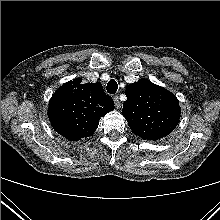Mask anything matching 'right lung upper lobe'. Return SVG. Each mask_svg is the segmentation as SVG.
Returning a JSON list of instances; mask_svg holds the SVG:
<instances>
[{"instance_id":"cb5924a9","label":"right lung upper lobe","mask_w":220,"mask_h":220,"mask_svg":"<svg viewBox=\"0 0 220 220\" xmlns=\"http://www.w3.org/2000/svg\"><path fill=\"white\" fill-rule=\"evenodd\" d=\"M81 82V78H76L63 84L53 94L48 108L52 127L70 141L91 136L100 118L114 109L113 100L101 83Z\"/></svg>"}]
</instances>
